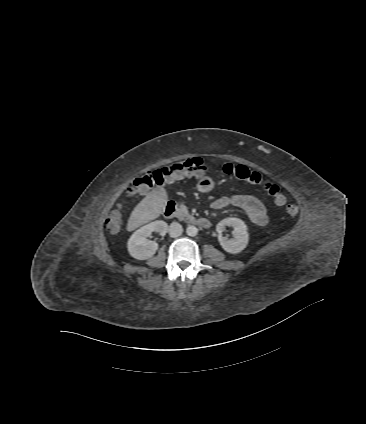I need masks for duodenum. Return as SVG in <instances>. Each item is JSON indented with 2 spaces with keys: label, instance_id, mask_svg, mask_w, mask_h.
I'll list each match as a JSON object with an SVG mask.
<instances>
[{
  "label": "duodenum",
  "instance_id": "1",
  "mask_svg": "<svg viewBox=\"0 0 366 424\" xmlns=\"http://www.w3.org/2000/svg\"><path fill=\"white\" fill-rule=\"evenodd\" d=\"M164 216L168 219L177 218V219H185L189 223L197 225L201 228H209L210 227V221L206 218L199 217V218H187L184 216V214L180 211L178 206L174 202H168L164 207Z\"/></svg>",
  "mask_w": 366,
  "mask_h": 424
}]
</instances>
